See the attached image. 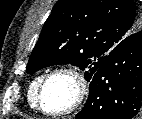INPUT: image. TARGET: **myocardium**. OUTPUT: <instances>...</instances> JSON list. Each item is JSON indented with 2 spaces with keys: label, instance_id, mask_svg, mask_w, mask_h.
I'll return each instance as SVG.
<instances>
[{
  "label": "myocardium",
  "instance_id": "myocardium-1",
  "mask_svg": "<svg viewBox=\"0 0 142 119\" xmlns=\"http://www.w3.org/2000/svg\"><path fill=\"white\" fill-rule=\"evenodd\" d=\"M57 75L70 76L76 85V93L71 105L60 111H50L43 107L42 95L48 81ZM88 80L84 72L73 66H61L48 72L41 80L35 96L36 108L45 115L60 117L67 116L78 110L84 103L88 94Z\"/></svg>",
  "mask_w": 142,
  "mask_h": 119
}]
</instances>
